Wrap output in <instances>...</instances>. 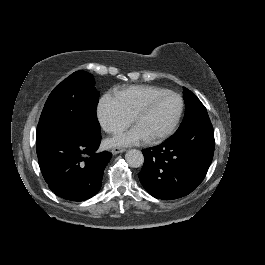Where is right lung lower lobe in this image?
I'll use <instances>...</instances> for the list:
<instances>
[{
  "label": "right lung lower lobe",
  "mask_w": 265,
  "mask_h": 265,
  "mask_svg": "<svg viewBox=\"0 0 265 265\" xmlns=\"http://www.w3.org/2000/svg\"><path fill=\"white\" fill-rule=\"evenodd\" d=\"M36 142L40 170L57 196L84 201L99 191L104 168L112 156L108 151L97 152L100 133L57 129Z\"/></svg>",
  "instance_id": "right-lung-lower-lobe-1"
}]
</instances>
